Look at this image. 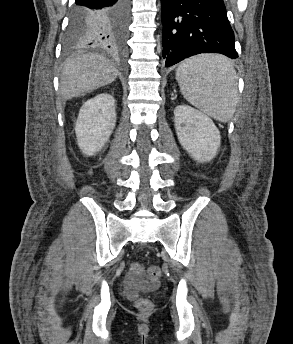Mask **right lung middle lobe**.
Returning a JSON list of instances; mask_svg holds the SVG:
<instances>
[{
  "label": "right lung middle lobe",
  "instance_id": "dd1d6c3e",
  "mask_svg": "<svg viewBox=\"0 0 293 344\" xmlns=\"http://www.w3.org/2000/svg\"><path fill=\"white\" fill-rule=\"evenodd\" d=\"M88 23L89 17L86 15V13L76 12L73 10L65 40L67 47H73L87 43L84 28Z\"/></svg>",
  "mask_w": 293,
  "mask_h": 344
}]
</instances>
